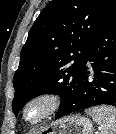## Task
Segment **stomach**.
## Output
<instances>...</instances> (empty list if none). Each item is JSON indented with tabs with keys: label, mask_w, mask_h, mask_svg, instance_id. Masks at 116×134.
<instances>
[{
	"label": "stomach",
	"mask_w": 116,
	"mask_h": 134,
	"mask_svg": "<svg viewBox=\"0 0 116 134\" xmlns=\"http://www.w3.org/2000/svg\"><path fill=\"white\" fill-rule=\"evenodd\" d=\"M92 127V122L87 117L71 115L52 122L39 134H91Z\"/></svg>",
	"instance_id": "obj_1"
}]
</instances>
